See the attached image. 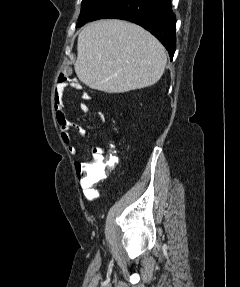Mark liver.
Masks as SVG:
<instances>
[{
  "mask_svg": "<svg viewBox=\"0 0 240 287\" xmlns=\"http://www.w3.org/2000/svg\"><path fill=\"white\" fill-rule=\"evenodd\" d=\"M166 62L163 45L148 31L107 19L89 23L79 33L74 69L91 89L124 93L157 83Z\"/></svg>",
  "mask_w": 240,
  "mask_h": 287,
  "instance_id": "1",
  "label": "liver"
}]
</instances>
